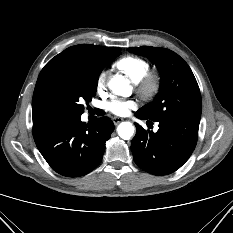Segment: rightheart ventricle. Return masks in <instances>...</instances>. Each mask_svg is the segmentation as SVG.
Here are the masks:
<instances>
[{
	"label": "right heart ventricle",
	"instance_id": "e07e8e85",
	"mask_svg": "<svg viewBox=\"0 0 233 233\" xmlns=\"http://www.w3.org/2000/svg\"><path fill=\"white\" fill-rule=\"evenodd\" d=\"M114 67L135 83L149 71L150 64L141 57L127 55L118 59Z\"/></svg>",
	"mask_w": 233,
	"mask_h": 233
}]
</instances>
